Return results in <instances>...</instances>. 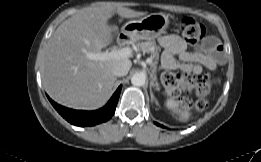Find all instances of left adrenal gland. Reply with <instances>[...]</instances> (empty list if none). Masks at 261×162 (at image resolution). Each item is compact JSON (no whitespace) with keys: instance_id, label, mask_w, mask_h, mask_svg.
Segmentation results:
<instances>
[{"instance_id":"obj_1","label":"left adrenal gland","mask_w":261,"mask_h":162,"mask_svg":"<svg viewBox=\"0 0 261 162\" xmlns=\"http://www.w3.org/2000/svg\"><path fill=\"white\" fill-rule=\"evenodd\" d=\"M153 86H155V85H154V82L151 80V82H150V96H151V100H153L155 102V104L157 106H159L158 100L155 98V96L153 94V91H152V87Z\"/></svg>"}]
</instances>
